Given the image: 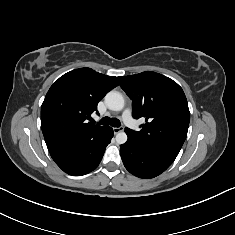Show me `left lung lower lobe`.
Returning <instances> with one entry per match:
<instances>
[{
  "label": "left lung lower lobe",
  "instance_id": "left-lung-lower-lobe-1",
  "mask_svg": "<svg viewBox=\"0 0 235 235\" xmlns=\"http://www.w3.org/2000/svg\"><path fill=\"white\" fill-rule=\"evenodd\" d=\"M128 140L120 146L126 169L139 178H153L164 172L177 155L146 144L126 131Z\"/></svg>",
  "mask_w": 235,
  "mask_h": 235
}]
</instances>
